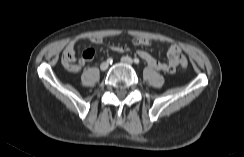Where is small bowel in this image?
<instances>
[{
    "instance_id": "c3829d8e",
    "label": "small bowel",
    "mask_w": 244,
    "mask_h": 157,
    "mask_svg": "<svg viewBox=\"0 0 244 157\" xmlns=\"http://www.w3.org/2000/svg\"><path fill=\"white\" fill-rule=\"evenodd\" d=\"M87 41L94 43V44H103V39L101 37H90L86 39ZM79 43L78 39L70 41L65 51H75L77 44ZM133 44L136 46H149L152 44L151 40L145 37H137L133 40ZM109 48L112 51L116 52H126L128 51V47L126 46H118V45H111ZM94 56L93 49H87L83 53V58L87 61H90ZM138 56L151 68L161 71L164 73H174L177 70V67L180 64L182 55L181 49L178 45L171 43L168 48V61L167 62H160L156 60L150 53L144 50H140L138 52Z\"/></svg>"
}]
</instances>
